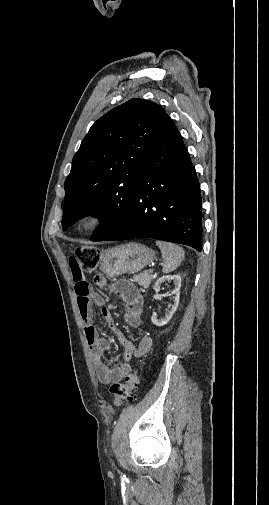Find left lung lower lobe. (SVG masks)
I'll return each instance as SVG.
<instances>
[{
	"instance_id": "obj_1",
	"label": "left lung lower lobe",
	"mask_w": 269,
	"mask_h": 505,
	"mask_svg": "<svg viewBox=\"0 0 269 505\" xmlns=\"http://www.w3.org/2000/svg\"><path fill=\"white\" fill-rule=\"evenodd\" d=\"M200 184L187 148L166 114L146 155L131 212L110 235L93 241L154 238L201 251Z\"/></svg>"
}]
</instances>
